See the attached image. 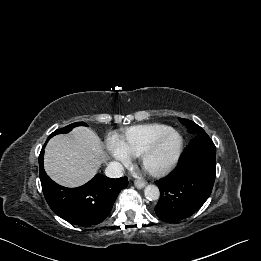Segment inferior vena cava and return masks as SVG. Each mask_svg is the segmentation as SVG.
Masks as SVG:
<instances>
[{"mask_svg":"<svg viewBox=\"0 0 261 261\" xmlns=\"http://www.w3.org/2000/svg\"><path fill=\"white\" fill-rule=\"evenodd\" d=\"M124 174V167L119 162H109L105 169V175L110 178H119Z\"/></svg>","mask_w":261,"mask_h":261,"instance_id":"inferior-vena-cava-1","label":"inferior vena cava"}]
</instances>
